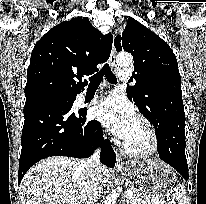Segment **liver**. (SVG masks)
Listing matches in <instances>:
<instances>
[{"mask_svg":"<svg viewBox=\"0 0 206 204\" xmlns=\"http://www.w3.org/2000/svg\"><path fill=\"white\" fill-rule=\"evenodd\" d=\"M113 170L103 166L101 185L106 186ZM88 171L84 160L49 157L34 165L20 184L22 204H84Z\"/></svg>","mask_w":206,"mask_h":204,"instance_id":"1","label":"liver"}]
</instances>
